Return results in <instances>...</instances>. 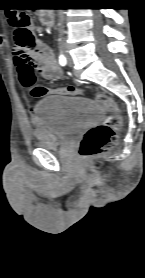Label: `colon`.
<instances>
[{
  "label": "colon",
  "instance_id": "5ec220e1",
  "mask_svg": "<svg viewBox=\"0 0 145 278\" xmlns=\"http://www.w3.org/2000/svg\"><path fill=\"white\" fill-rule=\"evenodd\" d=\"M7 21L12 29L14 41L22 48L32 46L34 36L30 28V18L25 12L10 13ZM22 86L27 89L33 97L40 98L46 95L77 96L82 89L78 87H46L36 83L34 76L24 78ZM100 106L109 111V116L103 124L96 125L83 136L79 146V156L87 161L101 153L111 150L117 142V129L123 123L122 109L115 99L105 93L97 95Z\"/></svg>",
  "mask_w": 145,
  "mask_h": 278
}]
</instances>
